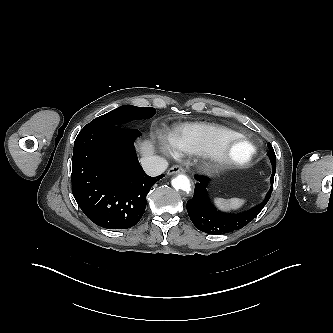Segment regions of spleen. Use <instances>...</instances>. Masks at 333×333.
I'll use <instances>...</instances> for the list:
<instances>
[{
  "label": "spleen",
  "mask_w": 333,
  "mask_h": 333,
  "mask_svg": "<svg viewBox=\"0 0 333 333\" xmlns=\"http://www.w3.org/2000/svg\"><path fill=\"white\" fill-rule=\"evenodd\" d=\"M215 205L225 211L236 210L244 205L245 199L240 198H231V199H223V198H215Z\"/></svg>",
  "instance_id": "1"
}]
</instances>
